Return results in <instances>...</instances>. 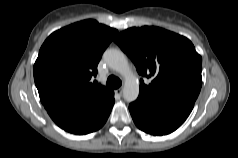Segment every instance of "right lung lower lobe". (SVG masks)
Listing matches in <instances>:
<instances>
[{
	"instance_id": "1",
	"label": "right lung lower lobe",
	"mask_w": 238,
	"mask_h": 158,
	"mask_svg": "<svg viewBox=\"0 0 238 158\" xmlns=\"http://www.w3.org/2000/svg\"><path fill=\"white\" fill-rule=\"evenodd\" d=\"M114 93L106 100L53 102L44 105L52 120L73 134H87L101 128L114 105Z\"/></svg>"
}]
</instances>
